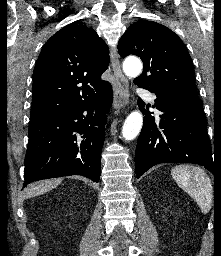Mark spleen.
<instances>
[{
  "mask_svg": "<svg viewBox=\"0 0 221 256\" xmlns=\"http://www.w3.org/2000/svg\"><path fill=\"white\" fill-rule=\"evenodd\" d=\"M172 177L196 201L204 214L210 211L213 188L211 180L201 168L179 165L172 169Z\"/></svg>",
  "mask_w": 221,
  "mask_h": 256,
  "instance_id": "spleen-1",
  "label": "spleen"
}]
</instances>
